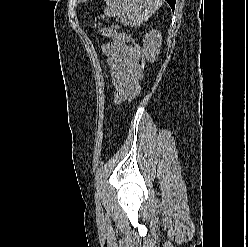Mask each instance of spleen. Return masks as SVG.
Returning <instances> with one entry per match:
<instances>
[{
  "label": "spleen",
  "mask_w": 248,
  "mask_h": 247,
  "mask_svg": "<svg viewBox=\"0 0 248 247\" xmlns=\"http://www.w3.org/2000/svg\"><path fill=\"white\" fill-rule=\"evenodd\" d=\"M104 13L118 17L124 25L140 26L161 7L162 0H105Z\"/></svg>",
  "instance_id": "obj_1"
}]
</instances>
